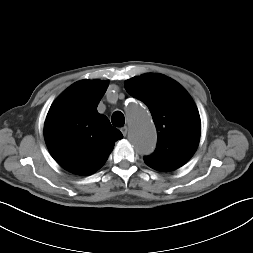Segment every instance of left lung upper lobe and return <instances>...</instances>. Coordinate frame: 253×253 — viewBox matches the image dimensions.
Returning <instances> with one entry per match:
<instances>
[{
	"label": "left lung upper lobe",
	"instance_id": "left-lung-upper-lobe-1",
	"mask_svg": "<svg viewBox=\"0 0 253 253\" xmlns=\"http://www.w3.org/2000/svg\"><path fill=\"white\" fill-rule=\"evenodd\" d=\"M126 91L149 108L158 134L155 152L144 157L157 171H172L195 153L201 131L197 107L188 92L173 79L157 73L125 82Z\"/></svg>",
	"mask_w": 253,
	"mask_h": 253
}]
</instances>
